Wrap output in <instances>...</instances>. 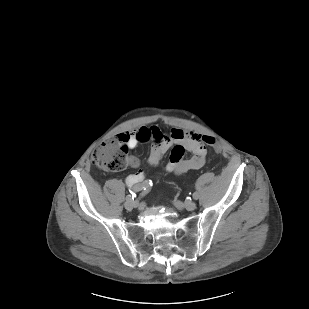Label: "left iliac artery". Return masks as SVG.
<instances>
[{"instance_id": "1", "label": "left iliac artery", "mask_w": 309, "mask_h": 309, "mask_svg": "<svg viewBox=\"0 0 309 309\" xmlns=\"http://www.w3.org/2000/svg\"><path fill=\"white\" fill-rule=\"evenodd\" d=\"M192 197H193V199L197 200L199 196H198V194L195 192V193H193Z\"/></svg>"}]
</instances>
